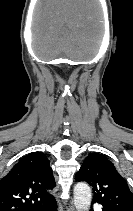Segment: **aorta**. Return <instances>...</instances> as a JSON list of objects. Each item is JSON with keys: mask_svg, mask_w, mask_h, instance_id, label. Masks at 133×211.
I'll return each instance as SVG.
<instances>
[{"mask_svg": "<svg viewBox=\"0 0 133 211\" xmlns=\"http://www.w3.org/2000/svg\"><path fill=\"white\" fill-rule=\"evenodd\" d=\"M92 201L90 187L83 182H79L74 187V205L77 211H89Z\"/></svg>", "mask_w": 133, "mask_h": 211, "instance_id": "762f6f07", "label": "aorta"}]
</instances>
